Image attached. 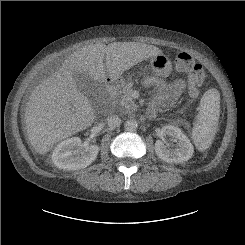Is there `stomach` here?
<instances>
[{"label":"stomach","instance_id":"1","mask_svg":"<svg viewBox=\"0 0 245 245\" xmlns=\"http://www.w3.org/2000/svg\"><path fill=\"white\" fill-rule=\"evenodd\" d=\"M151 70L159 76H167L172 69V63L170 59L164 55L159 54L150 59Z\"/></svg>","mask_w":245,"mask_h":245}]
</instances>
